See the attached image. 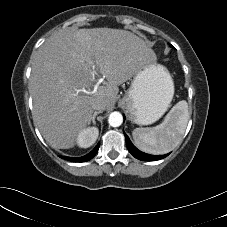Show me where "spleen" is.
Masks as SVG:
<instances>
[{"label":"spleen","instance_id":"spleen-1","mask_svg":"<svg viewBox=\"0 0 227 227\" xmlns=\"http://www.w3.org/2000/svg\"><path fill=\"white\" fill-rule=\"evenodd\" d=\"M188 120V104L184 100L179 101L161 124L151 128H135L132 132L134 143L149 154L168 153L180 143Z\"/></svg>","mask_w":227,"mask_h":227}]
</instances>
